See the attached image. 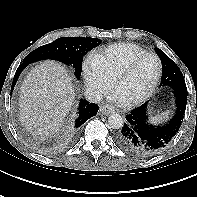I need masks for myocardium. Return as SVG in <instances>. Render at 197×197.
Segmentation results:
<instances>
[{
    "label": "myocardium",
    "mask_w": 197,
    "mask_h": 197,
    "mask_svg": "<svg viewBox=\"0 0 197 197\" xmlns=\"http://www.w3.org/2000/svg\"><path fill=\"white\" fill-rule=\"evenodd\" d=\"M146 57H153L156 60V62H157V73H156V76H155L152 84L150 85V87L148 88V90L145 93H143L142 95H140L138 97L132 98V99L122 100V103L127 105V106L137 105V104H140V103L146 101L149 97L152 96V94L155 92V90H156V88H157V86L159 84V81H160V78H161V75H162V62H161V59L155 53L145 52L143 54L135 56L130 62H128L119 71V73L117 74V76L114 79L113 88L116 91L119 83L132 72V70L134 69V67L136 66V64L140 60H142V59H144Z\"/></svg>",
    "instance_id": "f54148a6"
}]
</instances>
